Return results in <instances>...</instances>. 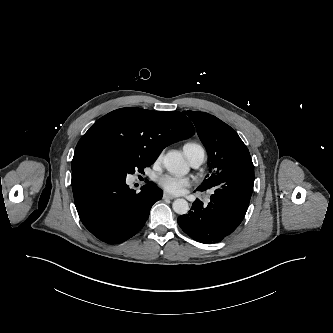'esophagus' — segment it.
<instances>
[{
	"label": "esophagus",
	"instance_id": "obj_1",
	"mask_svg": "<svg viewBox=\"0 0 333 333\" xmlns=\"http://www.w3.org/2000/svg\"><path fill=\"white\" fill-rule=\"evenodd\" d=\"M163 198L164 199H170V200H173L175 199V197L169 193H163Z\"/></svg>",
	"mask_w": 333,
	"mask_h": 333
}]
</instances>
